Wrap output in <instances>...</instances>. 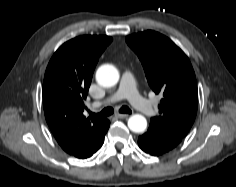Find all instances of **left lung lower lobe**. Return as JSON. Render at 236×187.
Wrapping results in <instances>:
<instances>
[{
  "instance_id": "0a47b994",
  "label": "left lung lower lobe",
  "mask_w": 236,
  "mask_h": 187,
  "mask_svg": "<svg viewBox=\"0 0 236 187\" xmlns=\"http://www.w3.org/2000/svg\"><path fill=\"white\" fill-rule=\"evenodd\" d=\"M181 140L182 137L150 123L148 131L139 137L138 144L146 153L159 156L175 148Z\"/></svg>"
}]
</instances>
